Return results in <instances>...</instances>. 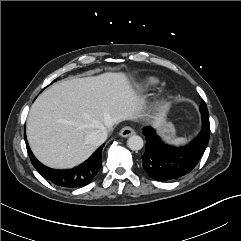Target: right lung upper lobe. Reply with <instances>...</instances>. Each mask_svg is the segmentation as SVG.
Listing matches in <instances>:
<instances>
[{"label": "right lung upper lobe", "mask_w": 241, "mask_h": 241, "mask_svg": "<svg viewBox=\"0 0 241 241\" xmlns=\"http://www.w3.org/2000/svg\"><path fill=\"white\" fill-rule=\"evenodd\" d=\"M48 180H50V179L48 178ZM52 182H53L54 184L58 185L57 182H54V181H52ZM58 186H59V185H58Z\"/></svg>", "instance_id": "cb5924a9"}]
</instances>
